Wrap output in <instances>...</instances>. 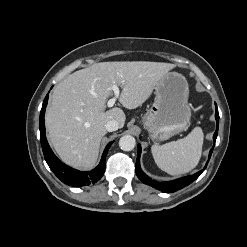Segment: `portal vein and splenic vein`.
<instances>
[{
    "label": "portal vein and splenic vein",
    "instance_id": "obj_1",
    "mask_svg": "<svg viewBox=\"0 0 247 247\" xmlns=\"http://www.w3.org/2000/svg\"><path fill=\"white\" fill-rule=\"evenodd\" d=\"M111 90H113L114 92V97L111 98L108 102H107V106L108 107H113V105L115 104L116 100L118 99L119 97V94H120V90H119V87L118 85L114 84L111 86Z\"/></svg>",
    "mask_w": 247,
    "mask_h": 247
}]
</instances>
